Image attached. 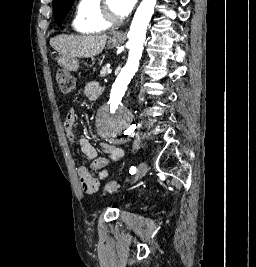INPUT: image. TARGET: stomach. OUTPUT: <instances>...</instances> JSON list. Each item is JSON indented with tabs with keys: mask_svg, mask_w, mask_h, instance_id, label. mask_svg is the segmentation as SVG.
<instances>
[{
	"mask_svg": "<svg viewBox=\"0 0 256 267\" xmlns=\"http://www.w3.org/2000/svg\"><path fill=\"white\" fill-rule=\"evenodd\" d=\"M122 38V34H118V36H113V38H110V40H108V46H110V48H115V46H118ZM57 67H77V62L76 60L75 62H57Z\"/></svg>",
	"mask_w": 256,
	"mask_h": 267,
	"instance_id": "stomach-1",
	"label": "stomach"
}]
</instances>
